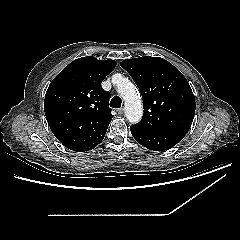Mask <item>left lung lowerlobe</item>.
Instances as JSON below:
<instances>
[{"instance_id":"0a47b994","label":"left lung lower lobe","mask_w":240,"mask_h":240,"mask_svg":"<svg viewBox=\"0 0 240 240\" xmlns=\"http://www.w3.org/2000/svg\"><path fill=\"white\" fill-rule=\"evenodd\" d=\"M135 140L142 146L154 150L164 151L180 142L187 133L184 132H147L130 127Z\"/></svg>"}]
</instances>
